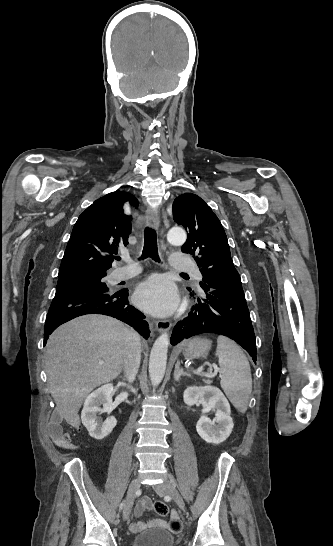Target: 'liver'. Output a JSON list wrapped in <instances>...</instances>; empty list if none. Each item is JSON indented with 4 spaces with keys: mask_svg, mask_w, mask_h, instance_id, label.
Wrapping results in <instances>:
<instances>
[{
    "mask_svg": "<svg viewBox=\"0 0 333 546\" xmlns=\"http://www.w3.org/2000/svg\"><path fill=\"white\" fill-rule=\"evenodd\" d=\"M128 331L116 319L84 315L61 325L49 337L46 374L56 410L67 423L77 424L86 396L120 374Z\"/></svg>",
    "mask_w": 333,
    "mask_h": 546,
    "instance_id": "6515ba94",
    "label": "liver"
}]
</instances>
